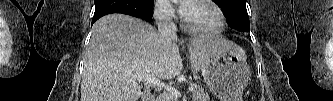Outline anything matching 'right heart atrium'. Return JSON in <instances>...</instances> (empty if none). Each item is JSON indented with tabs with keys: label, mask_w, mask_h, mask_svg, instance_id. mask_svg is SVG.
Masks as SVG:
<instances>
[{
	"label": "right heart atrium",
	"mask_w": 333,
	"mask_h": 101,
	"mask_svg": "<svg viewBox=\"0 0 333 101\" xmlns=\"http://www.w3.org/2000/svg\"><path fill=\"white\" fill-rule=\"evenodd\" d=\"M154 17L161 24H167L174 20L175 10L171 3L167 0H157L155 2Z\"/></svg>",
	"instance_id": "right-heart-atrium-1"
}]
</instances>
